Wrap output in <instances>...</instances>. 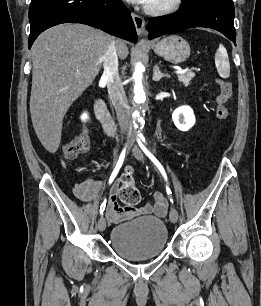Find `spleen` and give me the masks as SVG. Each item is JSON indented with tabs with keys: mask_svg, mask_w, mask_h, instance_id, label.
<instances>
[{
	"mask_svg": "<svg viewBox=\"0 0 261 306\" xmlns=\"http://www.w3.org/2000/svg\"><path fill=\"white\" fill-rule=\"evenodd\" d=\"M215 65L218 71V74L221 78H228L230 75V63L227 51L223 45H219L218 50L215 54Z\"/></svg>",
	"mask_w": 261,
	"mask_h": 306,
	"instance_id": "spleen-1",
	"label": "spleen"
}]
</instances>
